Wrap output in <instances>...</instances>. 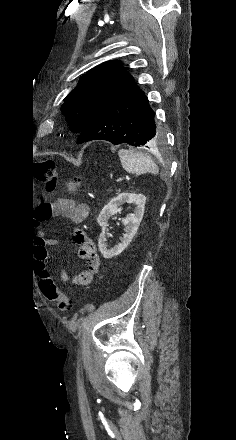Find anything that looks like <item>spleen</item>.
<instances>
[{
  "mask_svg": "<svg viewBox=\"0 0 236 440\" xmlns=\"http://www.w3.org/2000/svg\"><path fill=\"white\" fill-rule=\"evenodd\" d=\"M118 156L121 161L123 169L127 172L141 175L144 173H158V167L152 158L143 152H136L134 150L120 149Z\"/></svg>",
  "mask_w": 236,
  "mask_h": 440,
  "instance_id": "3e777b00",
  "label": "spleen"
}]
</instances>
